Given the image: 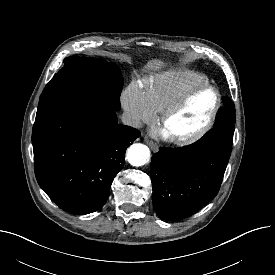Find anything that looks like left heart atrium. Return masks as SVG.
<instances>
[{
	"label": "left heart atrium",
	"instance_id": "obj_1",
	"mask_svg": "<svg viewBox=\"0 0 275 275\" xmlns=\"http://www.w3.org/2000/svg\"><path fill=\"white\" fill-rule=\"evenodd\" d=\"M163 134H164L165 136H167V133H166L165 131L163 132Z\"/></svg>",
	"mask_w": 275,
	"mask_h": 275
}]
</instances>
